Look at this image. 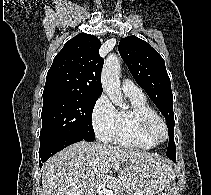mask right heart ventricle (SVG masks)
Masks as SVG:
<instances>
[{"instance_id": "1", "label": "right heart ventricle", "mask_w": 211, "mask_h": 195, "mask_svg": "<svg viewBox=\"0 0 211 195\" xmlns=\"http://www.w3.org/2000/svg\"><path fill=\"white\" fill-rule=\"evenodd\" d=\"M125 95L131 103V108L117 111L112 141L130 149L149 150L154 148L156 145L141 135L139 120L143 116L154 115L156 112L149 105L144 95Z\"/></svg>"}]
</instances>
